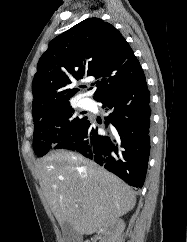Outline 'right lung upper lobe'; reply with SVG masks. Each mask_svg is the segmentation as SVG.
<instances>
[{
	"mask_svg": "<svg viewBox=\"0 0 187 242\" xmlns=\"http://www.w3.org/2000/svg\"><path fill=\"white\" fill-rule=\"evenodd\" d=\"M86 77L95 79V100L145 79L125 38L99 18H88L49 43L33 79L32 115L70 103L79 90L71 84Z\"/></svg>",
	"mask_w": 187,
	"mask_h": 242,
	"instance_id": "obj_1",
	"label": "right lung upper lobe"
}]
</instances>
